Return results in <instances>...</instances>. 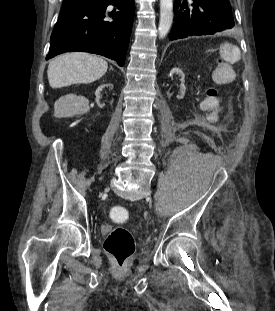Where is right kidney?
<instances>
[{
  "label": "right kidney",
  "mask_w": 275,
  "mask_h": 311,
  "mask_svg": "<svg viewBox=\"0 0 275 311\" xmlns=\"http://www.w3.org/2000/svg\"><path fill=\"white\" fill-rule=\"evenodd\" d=\"M95 94V105H97L98 108H107L108 103L106 100L114 96V91L112 90L111 84H104L96 90Z\"/></svg>",
  "instance_id": "right-kidney-1"
}]
</instances>
